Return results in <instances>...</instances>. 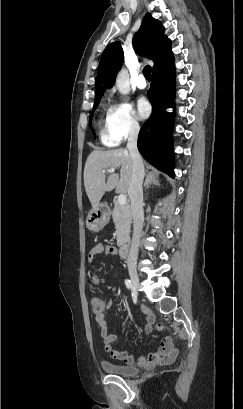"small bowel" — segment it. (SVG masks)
<instances>
[{"label":"small bowel","instance_id":"c3829d8e","mask_svg":"<svg viewBox=\"0 0 243 409\" xmlns=\"http://www.w3.org/2000/svg\"><path fill=\"white\" fill-rule=\"evenodd\" d=\"M116 253H117L116 247L109 244L98 243L92 248V250L88 254V262L91 264L94 263L96 260V256L100 254L115 255ZM91 281L93 284H99L101 282V277L97 274H93L91 276ZM103 303L104 307L108 306L111 304V300L109 301L103 300ZM143 312L146 315L144 331L146 333H152L154 330L155 322L154 314L148 308H144ZM94 319L97 326L100 329L104 348L114 359L122 360L127 364L139 363L141 365L146 364L168 365L173 363L176 357L178 356L179 353L178 347L174 340L170 337L162 338L160 340L159 348L156 351L149 353L147 356L135 358L133 355L129 354L126 351L116 350L113 348V343L117 340V336L110 334L108 332V319L104 312V308L101 312L94 313Z\"/></svg>","mask_w":243,"mask_h":409}]
</instances>
